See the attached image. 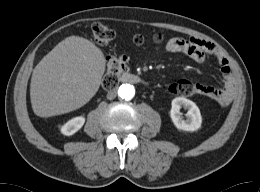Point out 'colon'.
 Masks as SVG:
<instances>
[{"label": "colon", "mask_w": 260, "mask_h": 192, "mask_svg": "<svg viewBox=\"0 0 260 192\" xmlns=\"http://www.w3.org/2000/svg\"><path fill=\"white\" fill-rule=\"evenodd\" d=\"M114 31L104 23L97 22L92 26V36L94 41L100 46L108 45L114 38ZM136 45H142L144 38L136 35L133 39ZM163 41L162 34H155L153 42L159 44ZM126 63L125 56L114 57L108 62V70L103 80V87L107 90L113 89L118 83V73ZM171 93L177 96H190L196 93V84L189 80L181 79L170 86Z\"/></svg>", "instance_id": "1"}]
</instances>
